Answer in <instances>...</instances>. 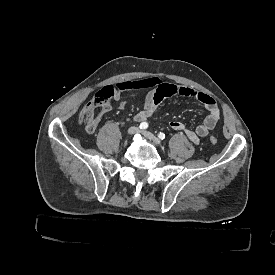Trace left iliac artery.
Here are the masks:
<instances>
[{"mask_svg": "<svg viewBox=\"0 0 275 275\" xmlns=\"http://www.w3.org/2000/svg\"><path fill=\"white\" fill-rule=\"evenodd\" d=\"M158 137H159L161 140H163V139H165V134L162 133V132H160V133L158 134Z\"/></svg>", "mask_w": 275, "mask_h": 275, "instance_id": "1", "label": "left iliac artery"}]
</instances>
